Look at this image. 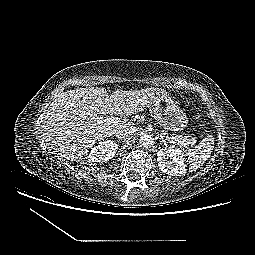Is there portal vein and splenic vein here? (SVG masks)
I'll list each match as a JSON object with an SVG mask.
<instances>
[{
	"mask_svg": "<svg viewBox=\"0 0 255 255\" xmlns=\"http://www.w3.org/2000/svg\"><path fill=\"white\" fill-rule=\"evenodd\" d=\"M98 122L99 123L108 122V123H111V124H118V123L121 122V119L118 118V117H109L107 119L99 118Z\"/></svg>",
	"mask_w": 255,
	"mask_h": 255,
	"instance_id": "1",
	"label": "portal vein and splenic vein"
}]
</instances>
